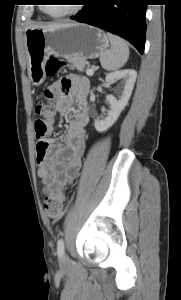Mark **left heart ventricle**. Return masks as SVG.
<instances>
[{
    "label": "left heart ventricle",
    "instance_id": "b2bd125f",
    "mask_svg": "<svg viewBox=\"0 0 181 300\" xmlns=\"http://www.w3.org/2000/svg\"><path fill=\"white\" fill-rule=\"evenodd\" d=\"M49 2L51 3H60L63 5H48L46 6L47 10L51 13V14H61L63 12L68 11L69 9L72 8L70 4L72 1H63V0H50Z\"/></svg>",
    "mask_w": 181,
    "mask_h": 300
}]
</instances>
